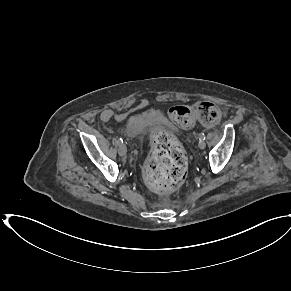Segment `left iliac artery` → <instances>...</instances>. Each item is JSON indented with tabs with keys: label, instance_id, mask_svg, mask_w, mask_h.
Listing matches in <instances>:
<instances>
[{
	"label": "left iliac artery",
	"instance_id": "left-iliac-artery-1",
	"mask_svg": "<svg viewBox=\"0 0 291 291\" xmlns=\"http://www.w3.org/2000/svg\"><path fill=\"white\" fill-rule=\"evenodd\" d=\"M199 138L200 140H205V134L204 133L200 134Z\"/></svg>",
	"mask_w": 291,
	"mask_h": 291
}]
</instances>
